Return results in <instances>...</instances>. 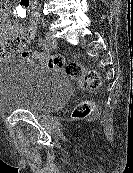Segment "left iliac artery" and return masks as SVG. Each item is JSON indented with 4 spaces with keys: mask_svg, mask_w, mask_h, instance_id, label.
I'll use <instances>...</instances> for the list:
<instances>
[{
    "mask_svg": "<svg viewBox=\"0 0 133 173\" xmlns=\"http://www.w3.org/2000/svg\"><path fill=\"white\" fill-rule=\"evenodd\" d=\"M39 43H40L41 45H43V44L45 43V40H44L43 38H40V39H39Z\"/></svg>",
    "mask_w": 133,
    "mask_h": 173,
    "instance_id": "left-iliac-artery-1",
    "label": "left iliac artery"
}]
</instances>
